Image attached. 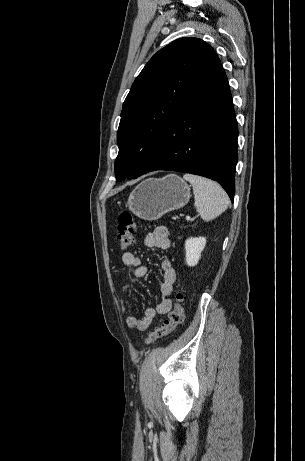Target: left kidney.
<instances>
[{"instance_id":"obj_1","label":"left kidney","mask_w":305,"mask_h":461,"mask_svg":"<svg viewBox=\"0 0 305 461\" xmlns=\"http://www.w3.org/2000/svg\"><path fill=\"white\" fill-rule=\"evenodd\" d=\"M205 245L206 238L204 237H191L185 241L186 263L188 266L197 265Z\"/></svg>"}]
</instances>
